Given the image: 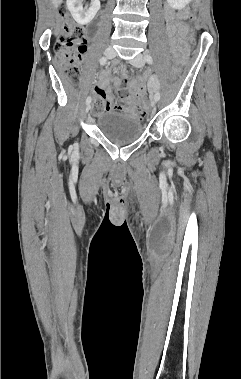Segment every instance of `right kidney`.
<instances>
[{"label":"right kidney","mask_w":241,"mask_h":379,"mask_svg":"<svg viewBox=\"0 0 241 379\" xmlns=\"http://www.w3.org/2000/svg\"><path fill=\"white\" fill-rule=\"evenodd\" d=\"M84 0H67V8L79 25L89 24L100 9V0H92L89 7H83Z\"/></svg>","instance_id":"ca27d5eb"}]
</instances>
